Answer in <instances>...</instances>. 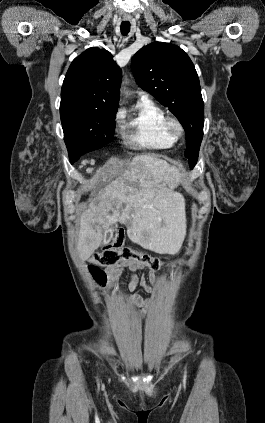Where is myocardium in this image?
I'll use <instances>...</instances> for the list:
<instances>
[{
    "mask_svg": "<svg viewBox=\"0 0 265 423\" xmlns=\"http://www.w3.org/2000/svg\"><path fill=\"white\" fill-rule=\"evenodd\" d=\"M164 129L176 141L181 139L185 134L183 123L176 117H166L164 120Z\"/></svg>",
    "mask_w": 265,
    "mask_h": 423,
    "instance_id": "myocardium-1",
    "label": "myocardium"
}]
</instances>
